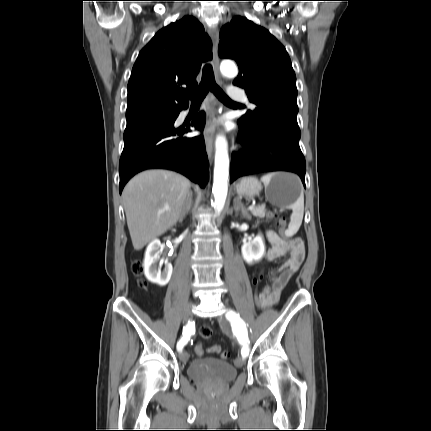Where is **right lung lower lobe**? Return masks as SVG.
<instances>
[{
    "instance_id": "obj_1",
    "label": "right lung lower lobe",
    "mask_w": 431,
    "mask_h": 431,
    "mask_svg": "<svg viewBox=\"0 0 431 431\" xmlns=\"http://www.w3.org/2000/svg\"><path fill=\"white\" fill-rule=\"evenodd\" d=\"M180 111L127 123L119 165L120 193L136 173L158 168L177 171L201 187L205 186L208 157L204 138L183 137V134L190 132L189 125L186 128L173 126ZM204 125L205 114L201 112L191 126L201 131Z\"/></svg>"
}]
</instances>
